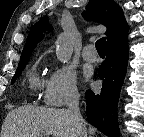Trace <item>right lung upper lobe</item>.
Wrapping results in <instances>:
<instances>
[{"label":"right lung upper lobe","instance_id":"cb5924a9","mask_svg":"<svg viewBox=\"0 0 144 137\" xmlns=\"http://www.w3.org/2000/svg\"><path fill=\"white\" fill-rule=\"evenodd\" d=\"M86 9L87 19L95 20L107 27V48L117 45L127 39L128 25L121 7L115 1L90 0ZM48 29L49 25L47 17L41 18L32 26L22 51L19 64L29 61L33 49L44 39Z\"/></svg>","mask_w":144,"mask_h":137}]
</instances>
